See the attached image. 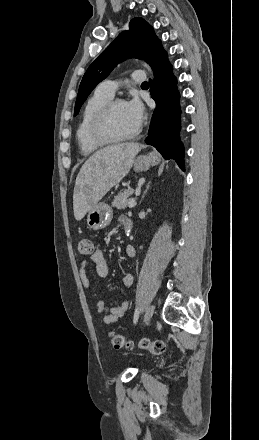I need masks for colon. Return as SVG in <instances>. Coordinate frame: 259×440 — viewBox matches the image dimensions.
Instances as JSON below:
<instances>
[{
    "mask_svg": "<svg viewBox=\"0 0 259 440\" xmlns=\"http://www.w3.org/2000/svg\"><path fill=\"white\" fill-rule=\"evenodd\" d=\"M93 245L91 240L85 235H79L77 237V253L80 255H89L92 253ZM110 341L116 349H131L133 347L132 341L125 338L123 335L111 332ZM139 347L147 349L154 354H161L165 351L166 345L161 340H149L143 338L139 342Z\"/></svg>",
    "mask_w": 259,
    "mask_h": 440,
    "instance_id": "obj_1",
    "label": "colon"
}]
</instances>
